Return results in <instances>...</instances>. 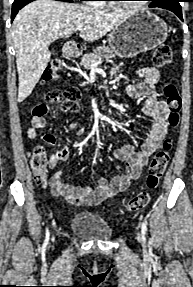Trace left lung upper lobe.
<instances>
[{
    "mask_svg": "<svg viewBox=\"0 0 193 287\" xmlns=\"http://www.w3.org/2000/svg\"><path fill=\"white\" fill-rule=\"evenodd\" d=\"M151 1L150 7H157L162 4H167L171 2H180L181 0H149Z\"/></svg>",
    "mask_w": 193,
    "mask_h": 287,
    "instance_id": "5c2ea615",
    "label": "left lung upper lobe"
}]
</instances>
